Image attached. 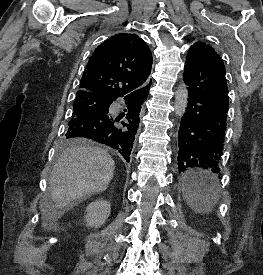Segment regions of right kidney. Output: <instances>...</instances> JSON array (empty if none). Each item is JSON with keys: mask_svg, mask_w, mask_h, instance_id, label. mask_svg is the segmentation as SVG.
<instances>
[{"mask_svg": "<svg viewBox=\"0 0 263 275\" xmlns=\"http://www.w3.org/2000/svg\"><path fill=\"white\" fill-rule=\"evenodd\" d=\"M86 211L87 226L100 228L110 215L111 205L106 200H95L88 205Z\"/></svg>", "mask_w": 263, "mask_h": 275, "instance_id": "obj_1", "label": "right kidney"}]
</instances>
